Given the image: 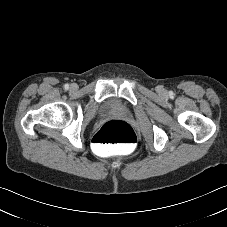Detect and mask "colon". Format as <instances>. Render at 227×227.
<instances>
[{
  "label": "colon",
  "mask_w": 227,
  "mask_h": 227,
  "mask_svg": "<svg viewBox=\"0 0 227 227\" xmlns=\"http://www.w3.org/2000/svg\"><path fill=\"white\" fill-rule=\"evenodd\" d=\"M134 143L135 134L132 127L121 121H109L105 123L93 139L94 147L97 150H103L105 146L110 144L132 147Z\"/></svg>",
  "instance_id": "obj_1"
}]
</instances>
